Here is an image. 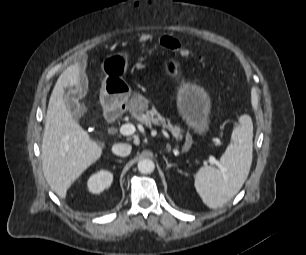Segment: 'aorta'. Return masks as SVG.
Masks as SVG:
<instances>
[{
  "label": "aorta",
  "instance_id": "obj_1",
  "mask_svg": "<svg viewBox=\"0 0 306 255\" xmlns=\"http://www.w3.org/2000/svg\"><path fill=\"white\" fill-rule=\"evenodd\" d=\"M138 170L142 174H150L155 169V164L151 159H141L137 164Z\"/></svg>",
  "mask_w": 306,
  "mask_h": 255
}]
</instances>
